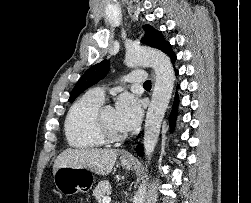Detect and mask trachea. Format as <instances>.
Returning <instances> with one entry per match:
<instances>
[{
  "instance_id": "trachea-1",
  "label": "trachea",
  "mask_w": 251,
  "mask_h": 203,
  "mask_svg": "<svg viewBox=\"0 0 251 203\" xmlns=\"http://www.w3.org/2000/svg\"><path fill=\"white\" fill-rule=\"evenodd\" d=\"M143 85H144V86H151V81H150V80H147Z\"/></svg>"
}]
</instances>
